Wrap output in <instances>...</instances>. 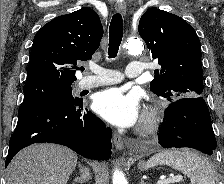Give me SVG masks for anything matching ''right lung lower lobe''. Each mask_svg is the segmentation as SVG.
Segmentation results:
<instances>
[{
    "label": "right lung lower lobe",
    "instance_id": "right-lung-lower-lobe-1",
    "mask_svg": "<svg viewBox=\"0 0 224 184\" xmlns=\"http://www.w3.org/2000/svg\"><path fill=\"white\" fill-rule=\"evenodd\" d=\"M111 137V129L83 107L82 99L38 103L19 112L5 167L22 148L44 142L65 145L87 158L105 160L111 156Z\"/></svg>",
    "mask_w": 224,
    "mask_h": 184
}]
</instances>
